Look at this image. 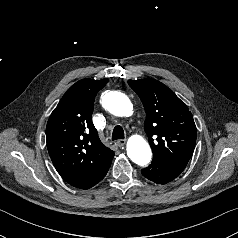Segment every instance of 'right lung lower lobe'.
<instances>
[{
  "label": "right lung lower lobe",
  "mask_w": 238,
  "mask_h": 238,
  "mask_svg": "<svg viewBox=\"0 0 238 238\" xmlns=\"http://www.w3.org/2000/svg\"><path fill=\"white\" fill-rule=\"evenodd\" d=\"M110 166L108 168H106L105 170H103L99 175H97L94 179L90 180L89 182L83 184L82 186L78 187L80 189H89L91 187H93L94 185H96L97 183H99L104 176L107 174L108 170H109Z\"/></svg>",
  "instance_id": "1"
}]
</instances>
